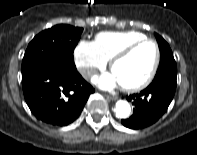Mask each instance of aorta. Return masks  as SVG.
Instances as JSON below:
<instances>
[{
	"instance_id": "762f6f07",
	"label": "aorta",
	"mask_w": 197,
	"mask_h": 155,
	"mask_svg": "<svg viewBox=\"0 0 197 155\" xmlns=\"http://www.w3.org/2000/svg\"><path fill=\"white\" fill-rule=\"evenodd\" d=\"M114 111L118 118H127L130 115L131 107L127 101L119 100L116 102Z\"/></svg>"
}]
</instances>
